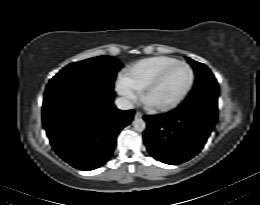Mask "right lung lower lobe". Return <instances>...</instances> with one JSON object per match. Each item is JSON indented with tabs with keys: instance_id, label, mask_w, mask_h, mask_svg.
<instances>
[{
	"instance_id": "right-lung-lower-lobe-1",
	"label": "right lung lower lobe",
	"mask_w": 260,
	"mask_h": 205,
	"mask_svg": "<svg viewBox=\"0 0 260 205\" xmlns=\"http://www.w3.org/2000/svg\"><path fill=\"white\" fill-rule=\"evenodd\" d=\"M114 96L113 86L96 80H50L43 126L64 161L80 170H93L110 158L118 133L134 115L133 110H118Z\"/></svg>"
}]
</instances>
